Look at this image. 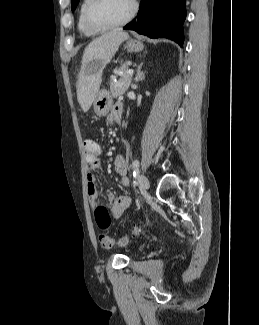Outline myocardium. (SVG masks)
<instances>
[{
    "instance_id": "f54148a6",
    "label": "myocardium",
    "mask_w": 259,
    "mask_h": 325,
    "mask_svg": "<svg viewBox=\"0 0 259 325\" xmlns=\"http://www.w3.org/2000/svg\"><path fill=\"white\" fill-rule=\"evenodd\" d=\"M100 2H101V0H88L87 4L85 6V9H84V13H83V18H84V22H85L86 26L90 30H93L96 32L107 31V30H111V29L123 26L126 23H128L135 16V14L137 12V3L135 0H132L131 10L123 19L116 21V22H112V23H100V22L95 21L92 17V12H93L94 8Z\"/></svg>"
}]
</instances>
